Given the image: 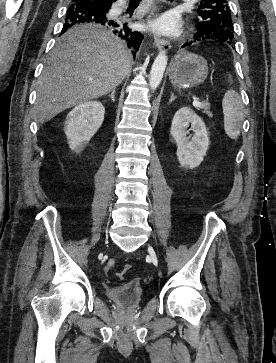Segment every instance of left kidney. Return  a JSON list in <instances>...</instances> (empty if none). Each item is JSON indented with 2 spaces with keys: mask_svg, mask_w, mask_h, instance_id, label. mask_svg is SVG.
<instances>
[{
  "mask_svg": "<svg viewBox=\"0 0 276 363\" xmlns=\"http://www.w3.org/2000/svg\"><path fill=\"white\" fill-rule=\"evenodd\" d=\"M191 125L193 136H187ZM170 134L177 144V158L184 168L198 167L209 145L208 131L203 120L189 107L179 109L172 120Z\"/></svg>",
  "mask_w": 276,
  "mask_h": 363,
  "instance_id": "obj_1",
  "label": "left kidney"
}]
</instances>
